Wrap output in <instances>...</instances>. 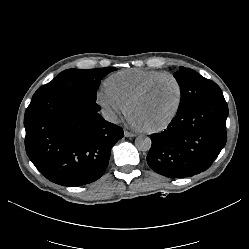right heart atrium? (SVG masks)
Returning a JSON list of instances; mask_svg holds the SVG:
<instances>
[{
  "mask_svg": "<svg viewBox=\"0 0 249 249\" xmlns=\"http://www.w3.org/2000/svg\"><path fill=\"white\" fill-rule=\"evenodd\" d=\"M96 103L101 108L105 119L110 122H116L128 109L126 102L111 94L106 88L98 91Z\"/></svg>",
  "mask_w": 249,
  "mask_h": 249,
  "instance_id": "obj_1",
  "label": "right heart atrium"
}]
</instances>
